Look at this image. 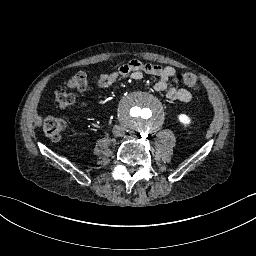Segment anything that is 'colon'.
I'll return each mask as SVG.
<instances>
[{
	"label": "colon",
	"instance_id": "1",
	"mask_svg": "<svg viewBox=\"0 0 256 256\" xmlns=\"http://www.w3.org/2000/svg\"><path fill=\"white\" fill-rule=\"evenodd\" d=\"M177 80L181 83L190 87L194 90H200L201 82L197 76L190 73H179L177 74ZM88 85V79L86 74L77 73L70 77L66 82L65 88L58 89L55 92V104L59 108H66L73 106L75 100L70 90H83ZM66 128V122L61 118L51 117L47 118L43 123V129L47 137L52 140H60Z\"/></svg>",
	"mask_w": 256,
	"mask_h": 256
}]
</instances>
